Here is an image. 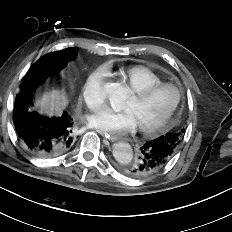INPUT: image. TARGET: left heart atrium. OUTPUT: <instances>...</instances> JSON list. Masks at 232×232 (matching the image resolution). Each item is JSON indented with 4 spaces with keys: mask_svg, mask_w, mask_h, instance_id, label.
Wrapping results in <instances>:
<instances>
[{
    "mask_svg": "<svg viewBox=\"0 0 232 232\" xmlns=\"http://www.w3.org/2000/svg\"><path fill=\"white\" fill-rule=\"evenodd\" d=\"M87 124L115 136L124 135L137 127V122L130 111H113L106 108L89 115Z\"/></svg>",
    "mask_w": 232,
    "mask_h": 232,
    "instance_id": "obj_1",
    "label": "left heart atrium"
}]
</instances>
